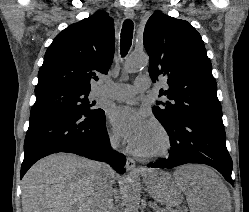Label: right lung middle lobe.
Here are the masks:
<instances>
[{
	"label": "right lung middle lobe",
	"instance_id": "obj_1",
	"mask_svg": "<svg viewBox=\"0 0 249 212\" xmlns=\"http://www.w3.org/2000/svg\"><path fill=\"white\" fill-rule=\"evenodd\" d=\"M89 92L54 91L36 95V102L31 113L37 111H68L86 117L98 116L102 109L93 107L94 102L88 100Z\"/></svg>",
	"mask_w": 249,
	"mask_h": 212
}]
</instances>
